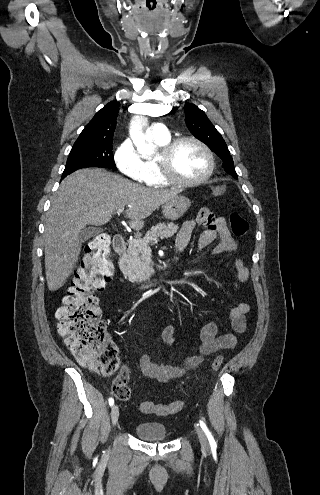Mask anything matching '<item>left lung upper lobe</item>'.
Segmentation results:
<instances>
[{"label":"left lung upper lobe","instance_id":"obj_1","mask_svg":"<svg viewBox=\"0 0 320 495\" xmlns=\"http://www.w3.org/2000/svg\"><path fill=\"white\" fill-rule=\"evenodd\" d=\"M185 119L192 134L222 159L224 170L234 178H238L232 156L224 139L207 118L204 111L200 110L194 104H186Z\"/></svg>","mask_w":320,"mask_h":495}]
</instances>
